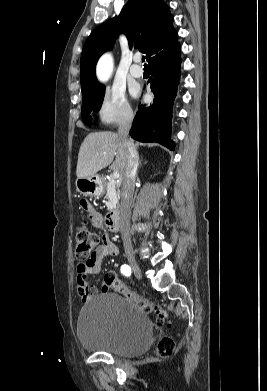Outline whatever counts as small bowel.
I'll use <instances>...</instances> for the list:
<instances>
[{"label":"small bowel","mask_w":267,"mask_h":391,"mask_svg":"<svg viewBox=\"0 0 267 391\" xmlns=\"http://www.w3.org/2000/svg\"><path fill=\"white\" fill-rule=\"evenodd\" d=\"M80 208L88 214L94 226L102 227V215L95 210L89 201L81 200ZM118 253L119 249L116 244L108 237H105L102 245L91 255L89 260L78 263L76 276L77 291L84 300L91 299L98 292V287L88 281V275L100 273L103 259L108 256H116ZM109 288L107 274H105L101 284V291L106 292Z\"/></svg>","instance_id":"1"}]
</instances>
